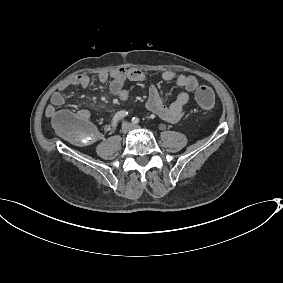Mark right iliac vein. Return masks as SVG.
<instances>
[{
  "label": "right iliac vein",
  "mask_w": 283,
  "mask_h": 283,
  "mask_svg": "<svg viewBox=\"0 0 283 283\" xmlns=\"http://www.w3.org/2000/svg\"><path fill=\"white\" fill-rule=\"evenodd\" d=\"M131 129V125L128 122L122 124L121 131L123 134H127Z\"/></svg>",
  "instance_id": "1"
}]
</instances>
